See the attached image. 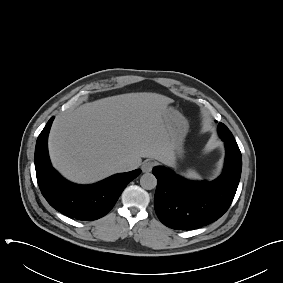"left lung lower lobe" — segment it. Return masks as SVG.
<instances>
[{"label":"left lung lower lobe","mask_w":283,"mask_h":283,"mask_svg":"<svg viewBox=\"0 0 283 283\" xmlns=\"http://www.w3.org/2000/svg\"><path fill=\"white\" fill-rule=\"evenodd\" d=\"M225 142L223 173L212 182L188 181L164 167H154L157 178L155 212L173 229L190 230L219 219L229 208L241 176L242 157L235 141Z\"/></svg>","instance_id":"1"}]
</instances>
